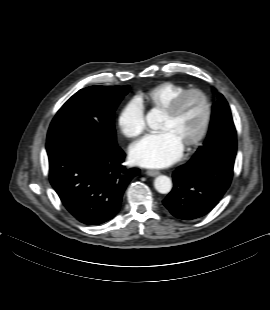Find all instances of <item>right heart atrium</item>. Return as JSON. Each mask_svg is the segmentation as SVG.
<instances>
[{"label": "right heart atrium", "instance_id": "obj_1", "mask_svg": "<svg viewBox=\"0 0 270 310\" xmlns=\"http://www.w3.org/2000/svg\"><path fill=\"white\" fill-rule=\"evenodd\" d=\"M118 126L127 138H136L143 133L145 113L138 99H131L124 105L118 117Z\"/></svg>", "mask_w": 270, "mask_h": 310}]
</instances>
